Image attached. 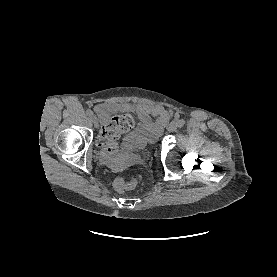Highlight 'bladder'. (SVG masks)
<instances>
[{
  "label": "bladder",
  "instance_id": "1",
  "mask_svg": "<svg viewBox=\"0 0 277 277\" xmlns=\"http://www.w3.org/2000/svg\"><path fill=\"white\" fill-rule=\"evenodd\" d=\"M159 132L150 121H140L132 131L128 132L123 140L121 148L128 152H138L147 149L156 143Z\"/></svg>",
  "mask_w": 277,
  "mask_h": 277
}]
</instances>
